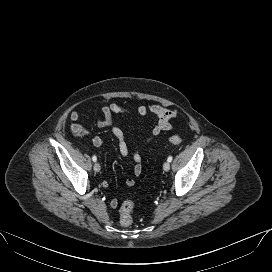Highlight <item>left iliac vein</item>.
Returning a JSON list of instances; mask_svg holds the SVG:
<instances>
[{
	"label": "left iliac vein",
	"instance_id": "left-iliac-vein-1",
	"mask_svg": "<svg viewBox=\"0 0 272 272\" xmlns=\"http://www.w3.org/2000/svg\"><path fill=\"white\" fill-rule=\"evenodd\" d=\"M163 169L166 172L170 170V163L168 161L163 164Z\"/></svg>",
	"mask_w": 272,
	"mask_h": 272
}]
</instances>
